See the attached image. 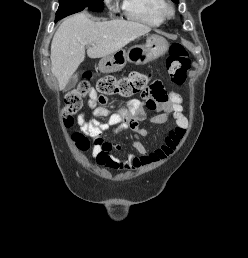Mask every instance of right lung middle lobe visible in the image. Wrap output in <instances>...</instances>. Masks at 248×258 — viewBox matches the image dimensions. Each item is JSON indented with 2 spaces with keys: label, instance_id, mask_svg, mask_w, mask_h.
<instances>
[{
  "label": "right lung middle lobe",
  "instance_id": "right-lung-middle-lobe-1",
  "mask_svg": "<svg viewBox=\"0 0 248 258\" xmlns=\"http://www.w3.org/2000/svg\"><path fill=\"white\" fill-rule=\"evenodd\" d=\"M84 9L102 12L103 0H59V8L56 12L55 22Z\"/></svg>",
  "mask_w": 248,
  "mask_h": 258
}]
</instances>
